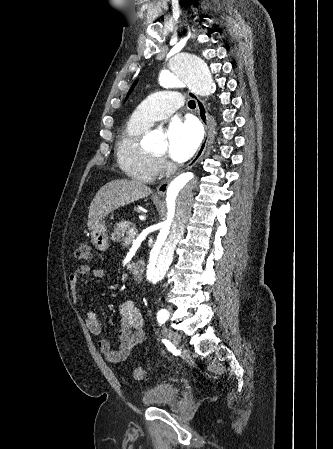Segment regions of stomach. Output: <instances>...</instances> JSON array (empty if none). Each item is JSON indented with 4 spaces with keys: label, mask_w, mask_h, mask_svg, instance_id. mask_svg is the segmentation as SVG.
<instances>
[{
    "label": "stomach",
    "mask_w": 333,
    "mask_h": 449,
    "mask_svg": "<svg viewBox=\"0 0 333 449\" xmlns=\"http://www.w3.org/2000/svg\"><path fill=\"white\" fill-rule=\"evenodd\" d=\"M92 243L99 251H105L109 247L108 233L104 221L98 222V224L91 229Z\"/></svg>",
    "instance_id": "obj_1"
}]
</instances>
